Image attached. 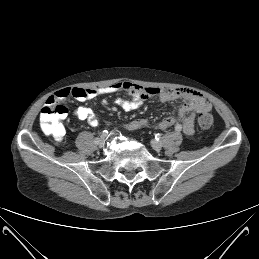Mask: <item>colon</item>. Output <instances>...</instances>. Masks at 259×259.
Masks as SVG:
<instances>
[{"label": "colon", "instance_id": "obj_1", "mask_svg": "<svg viewBox=\"0 0 259 259\" xmlns=\"http://www.w3.org/2000/svg\"><path fill=\"white\" fill-rule=\"evenodd\" d=\"M67 114V108L56 100H47L40 113V127L44 134L60 141L64 135L62 120ZM198 123L202 128H209L213 124V117L208 112H203L198 117Z\"/></svg>", "mask_w": 259, "mask_h": 259}]
</instances>
